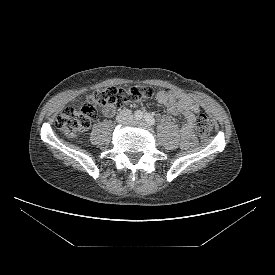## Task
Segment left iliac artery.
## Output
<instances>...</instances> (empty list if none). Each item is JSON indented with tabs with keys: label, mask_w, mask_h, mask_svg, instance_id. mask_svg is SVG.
Masks as SVG:
<instances>
[{
	"label": "left iliac artery",
	"mask_w": 275,
	"mask_h": 275,
	"mask_svg": "<svg viewBox=\"0 0 275 275\" xmlns=\"http://www.w3.org/2000/svg\"><path fill=\"white\" fill-rule=\"evenodd\" d=\"M144 120L149 124V125H154L155 124V119L153 116L150 114H145L144 115Z\"/></svg>",
	"instance_id": "1"
}]
</instances>
